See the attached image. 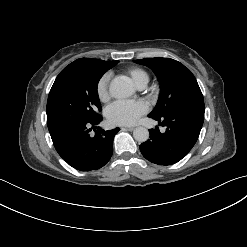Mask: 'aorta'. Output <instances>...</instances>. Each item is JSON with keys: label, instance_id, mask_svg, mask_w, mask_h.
<instances>
[{"label": "aorta", "instance_id": "1", "mask_svg": "<svg viewBox=\"0 0 247 247\" xmlns=\"http://www.w3.org/2000/svg\"><path fill=\"white\" fill-rule=\"evenodd\" d=\"M110 95L115 99H126L133 95V86L122 80L121 78H115L109 88ZM133 137L138 142H145L149 138V131L145 127H137L133 131Z\"/></svg>", "mask_w": 247, "mask_h": 247}]
</instances>
